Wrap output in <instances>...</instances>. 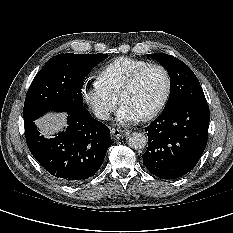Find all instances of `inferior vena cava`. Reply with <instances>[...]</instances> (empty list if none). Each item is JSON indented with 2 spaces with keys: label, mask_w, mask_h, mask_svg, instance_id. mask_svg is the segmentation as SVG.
Here are the masks:
<instances>
[{
  "label": "inferior vena cava",
  "mask_w": 233,
  "mask_h": 233,
  "mask_svg": "<svg viewBox=\"0 0 233 233\" xmlns=\"http://www.w3.org/2000/svg\"><path fill=\"white\" fill-rule=\"evenodd\" d=\"M95 115L98 119L108 120L110 118V111L107 108H98L95 110Z\"/></svg>",
  "instance_id": "1"
}]
</instances>
